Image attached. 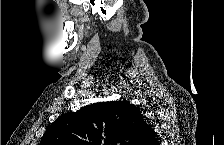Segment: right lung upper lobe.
<instances>
[{"mask_svg": "<svg viewBox=\"0 0 224 145\" xmlns=\"http://www.w3.org/2000/svg\"><path fill=\"white\" fill-rule=\"evenodd\" d=\"M40 145H158V140L135 105L109 101L62 115Z\"/></svg>", "mask_w": 224, "mask_h": 145, "instance_id": "1", "label": "right lung upper lobe"}]
</instances>
